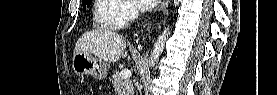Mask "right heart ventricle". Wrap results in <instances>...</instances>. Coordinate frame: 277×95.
I'll list each match as a JSON object with an SVG mask.
<instances>
[{
	"instance_id": "e07e8e85",
	"label": "right heart ventricle",
	"mask_w": 277,
	"mask_h": 95,
	"mask_svg": "<svg viewBox=\"0 0 277 95\" xmlns=\"http://www.w3.org/2000/svg\"><path fill=\"white\" fill-rule=\"evenodd\" d=\"M125 4L121 0H95L94 23L103 31L115 30L125 23L122 10Z\"/></svg>"
}]
</instances>
